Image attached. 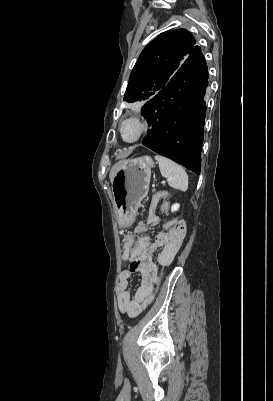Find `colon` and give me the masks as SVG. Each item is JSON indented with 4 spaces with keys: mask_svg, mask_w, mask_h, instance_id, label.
<instances>
[{
    "mask_svg": "<svg viewBox=\"0 0 273 401\" xmlns=\"http://www.w3.org/2000/svg\"><path fill=\"white\" fill-rule=\"evenodd\" d=\"M169 227H176L177 222H171L168 224ZM180 226L184 227L183 223H180ZM171 238L173 241H182L184 238V235L182 232H173L171 235ZM161 239L162 240H167L168 239V234L167 233H162L161 234ZM141 279L143 282H151L153 279V276L151 273H143L141 276Z\"/></svg>",
    "mask_w": 273,
    "mask_h": 401,
    "instance_id": "5ec220e1",
    "label": "colon"
}]
</instances>
